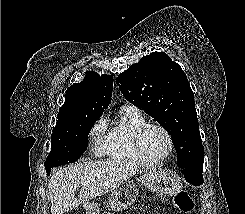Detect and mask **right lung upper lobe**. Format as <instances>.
<instances>
[{
    "label": "right lung upper lobe",
    "mask_w": 245,
    "mask_h": 214,
    "mask_svg": "<svg viewBox=\"0 0 245 214\" xmlns=\"http://www.w3.org/2000/svg\"><path fill=\"white\" fill-rule=\"evenodd\" d=\"M113 77L90 71L80 83L71 85L65 93V102L59 109L58 121L52 134L70 127L75 119L89 113H103L112 97Z\"/></svg>",
    "instance_id": "right-lung-upper-lobe-1"
}]
</instances>
